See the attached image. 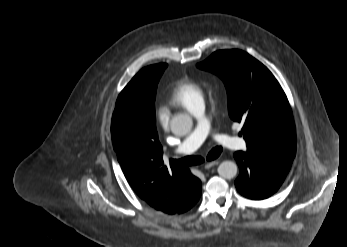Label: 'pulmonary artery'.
I'll return each mask as SVG.
<instances>
[{"instance_id": "e3ab8cb5", "label": "pulmonary artery", "mask_w": 347, "mask_h": 247, "mask_svg": "<svg viewBox=\"0 0 347 247\" xmlns=\"http://www.w3.org/2000/svg\"><path fill=\"white\" fill-rule=\"evenodd\" d=\"M190 112L198 119V124L176 150V153L180 155L195 152L203 144L209 132L208 122L204 116L205 105L203 100L198 101ZM215 139L219 145L229 149L239 150L246 148V141L237 136L218 135Z\"/></svg>"}]
</instances>
